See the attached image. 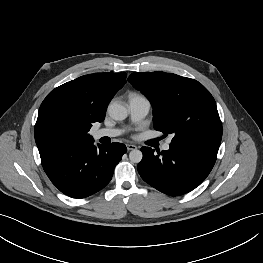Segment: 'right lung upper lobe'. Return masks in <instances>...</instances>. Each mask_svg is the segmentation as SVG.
Wrapping results in <instances>:
<instances>
[{"label":"right lung upper lobe","instance_id":"cb5924a9","mask_svg":"<svg viewBox=\"0 0 263 263\" xmlns=\"http://www.w3.org/2000/svg\"><path fill=\"white\" fill-rule=\"evenodd\" d=\"M126 73H99L81 76L51 91L42 102L35 124V141L42 165L63 150L61 132H73L93 140L92 123L104 120L108 103L126 83ZM82 142V143H83Z\"/></svg>","mask_w":263,"mask_h":263}]
</instances>
